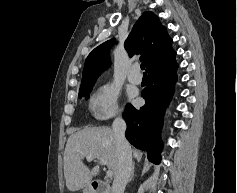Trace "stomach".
Instances as JSON below:
<instances>
[{"label":"stomach","instance_id":"stomach-1","mask_svg":"<svg viewBox=\"0 0 237 193\" xmlns=\"http://www.w3.org/2000/svg\"><path fill=\"white\" fill-rule=\"evenodd\" d=\"M83 193H93L91 187L88 185L87 187H85V189L83 190Z\"/></svg>","mask_w":237,"mask_h":193}]
</instances>
